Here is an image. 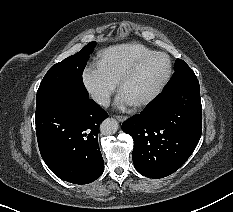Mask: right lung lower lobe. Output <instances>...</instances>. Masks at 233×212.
<instances>
[{
  "label": "right lung lower lobe",
  "mask_w": 233,
  "mask_h": 212,
  "mask_svg": "<svg viewBox=\"0 0 233 212\" xmlns=\"http://www.w3.org/2000/svg\"><path fill=\"white\" fill-rule=\"evenodd\" d=\"M108 114L88 92L70 90L36 114L37 140L43 160L62 180L87 184L101 176L100 123Z\"/></svg>",
  "instance_id": "98d812e1"
}]
</instances>
